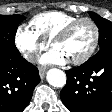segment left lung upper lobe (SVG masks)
I'll return each instance as SVG.
<instances>
[{
    "label": "left lung upper lobe",
    "mask_w": 112,
    "mask_h": 112,
    "mask_svg": "<svg viewBox=\"0 0 112 112\" xmlns=\"http://www.w3.org/2000/svg\"><path fill=\"white\" fill-rule=\"evenodd\" d=\"M89 15L99 28L100 50L98 53L107 49H112V22L93 12H89Z\"/></svg>",
    "instance_id": "left-lung-upper-lobe-1"
}]
</instances>
